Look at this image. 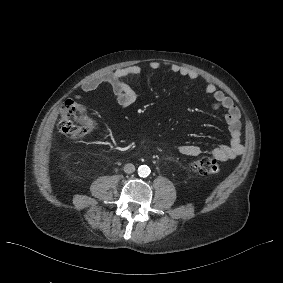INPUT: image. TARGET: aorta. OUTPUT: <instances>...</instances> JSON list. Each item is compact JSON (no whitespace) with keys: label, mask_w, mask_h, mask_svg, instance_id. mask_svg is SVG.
Wrapping results in <instances>:
<instances>
[{"label":"aorta","mask_w":283,"mask_h":283,"mask_svg":"<svg viewBox=\"0 0 283 283\" xmlns=\"http://www.w3.org/2000/svg\"><path fill=\"white\" fill-rule=\"evenodd\" d=\"M151 170L147 165H141L138 168V174L141 177H147L150 174Z\"/></svg>","instance_id":"obj_1"}]
</instances>
